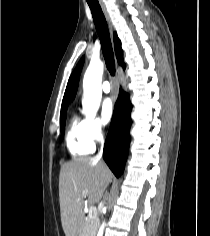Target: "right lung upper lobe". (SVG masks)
Here are the masks:
<instances>
[{"instance_id": "right-lung-upper-lobe-1", "label": "right lung upper lobe", "mask_w": 210, "mask_h": 236, "mask_svg": "<svg viewBox=\"0 0 210 236\" xmlns=\"http://www.w3.org/2000/svg\"><path fill=\"white\" fill-rule=\"evenodd\" d=\"M114 47H115V53H116V57H117L119 64L122 65L123 68H125V64L123 62V51L121 49V42H120L119 38L117 37L116 33H114ZM72 83H73V74L69 78V81H68V84L66 87V91H65L63 101H62L61 112H64L67 110L69 96H70L71 88H72Z\"/></svg>"}]
</instances>
